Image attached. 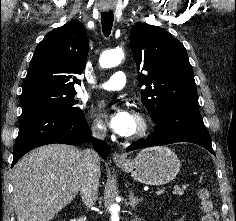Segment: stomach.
Listing matches in <instances>:
<instances>
[{
  "mask_svg": "<svg viewBox=\"0 0 236 221\" xmlns=\"http://www.w3.org/2000/svg\"><path fill=\"white\" fill-rule=\"evenodd\" d=\"M117 166L137 181L152 185L171 182L180 170V160L168 147L157 146L141 150L134 158Z\"/></svg>",
  "mask_w": 236,
  "mask_h": 221,
  "instance_id": "1",
  "label": "stomach"
}]
</instances>
